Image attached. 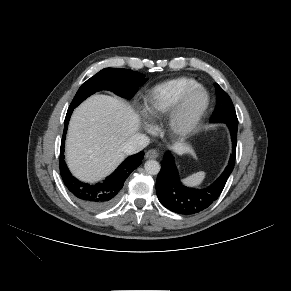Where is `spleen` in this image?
I'll return each instance as SVG.
<instances>
[{"label":"spleen","mask_w":291,"mask_h":291,"mask_svg":"<svg viewBox=\"0 0 291 291\" xmlns=\"http://www.w3.org/2000/svg\"><path fill=\"white\" fill-rule=\"evenodd\" d=\"M204 178H205V172H197V173H194V174L190 175L186 179H184L183 182L186 185L196 187V186H199L202 183Z\"/></svg>","instance_id":"3e777b00"}]
</instances>
